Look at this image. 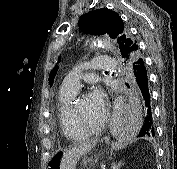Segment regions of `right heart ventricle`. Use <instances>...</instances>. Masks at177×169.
Instances as JSON below:
<instances>
[{
    "instance_id": "1",
    "label": "right heart ventricle",
    "mask_w": 177,
    "mask_h": 169,
    "mask_svg": "<svg viewBox=\"0 0 177 169\" xmlns=\"http://www.w3.org/2000/svg\"><path fill=\"white\" fill-rule=\"evenodd\" d=\"M78 91L63 90L59 91L58 97V120L63 136L69 141H81L88 135L81 133L75 124L72 113V102Z\"/></svg>"
}]
</instances>
